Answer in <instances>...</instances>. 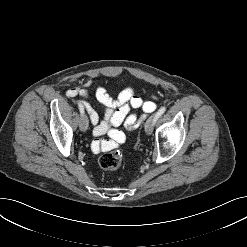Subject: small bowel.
Segmentation results:
<instances>
[{
    "label": "small bowel",
    "mask_w": 247,
    "mask_h": 247,
    "mask_svg": "<svg viewBox=\"0 0 247 247\" xmlns=\"http://www.w3.org/2000/svg\"><path fill=\"white\" fill-rule=\"evenodd\" d=\"M92 80H86L85 82L71 87L66 91V95L69 98L80 96L84 98L78 102L88 112L91 123L94 127V135L101 136L105 133H109L111 138L114 139V135L120 133L113 129V127L124 124L128 130H133L138 127L139 122L134 113H131L132 109H141L145 113H151L155 110L156 96L151 95L149 100H144L140 96L134 93L132 87L128 86L124 88L117 97H112L107 89L100 85L95 89V98L97 102L104 108V116L102 120L99 118V114L94 106L85 100L88 97V88L92 86ZM122 134V133H120ZM107 141L97 140L93 143V149L96 152L103 151L100 149L101 145H104Z\"/></svg>",
    "instance_id": "1"
}]
</instances>
